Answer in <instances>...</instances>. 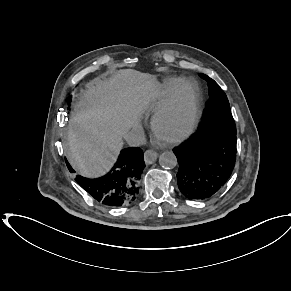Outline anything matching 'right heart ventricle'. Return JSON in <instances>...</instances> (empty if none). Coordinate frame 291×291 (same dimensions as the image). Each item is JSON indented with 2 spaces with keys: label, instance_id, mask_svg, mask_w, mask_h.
Listing matches in <instances>:
<instances>
[{
  "label": "right heart ventricle",
  "instance_id": "1",
  "mask_svg": "<svg viewBox=\"0 0 291 291\" xmlns=\"http://www.w3.org/2000/svg\"><path fill=\"white\" fill-rule=\"evenodd\" d=\"M180 83V79L173 78L168 81L165 86L159 87L155 91V106L154 110L157 112L160 107L163 105L164 101L168 97L169 93Z\"/></svg>",
  "mask_w": 291,
  "mask_h": 291
}]
</instances>
